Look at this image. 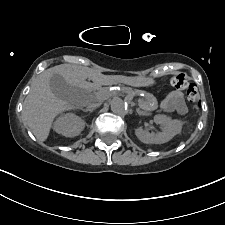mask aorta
I'll return each instance as SVG.
<instances>
[{
  "label": "aorta",
  "mask_w": 225,
  "mask_h": 225,
  "mask_svg": "<svg viewBox=\"0 0 225 225\" xmlns=\"http://www.w3.org/2000/svg\"><path fill=\"white\" fill-rule=\"evenodd\" d=\"M111 110L114 114L124 116L128 112L126 103L121 98H114L111 100Z\"/></svg>",
  "instance_id": "obj_1"
}]
</instances>
